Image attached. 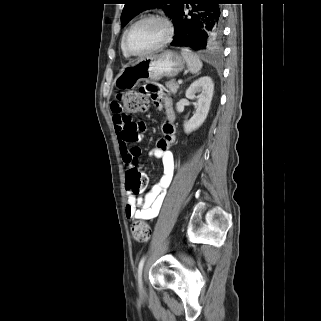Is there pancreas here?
Segmentation results:
<instances>
[{
    "instance_id": "1",
    "label": "pancreas",
    "mask_w": 321,
    "mask_h": 321,
    "mask_svg": "<svg viewBox=\"0 0 321 321\" xmlns=\"http://www.w3.org/2000/svg\"><path fill=\"white\" fill-rule=\"evenodd\" d=\"M165 85H166L167 89L173 94H175L179 88V84L176 83L174 80H170V81L166 82Z\"/></svg>"
}]
</instances>
